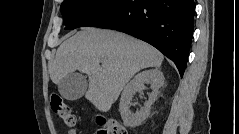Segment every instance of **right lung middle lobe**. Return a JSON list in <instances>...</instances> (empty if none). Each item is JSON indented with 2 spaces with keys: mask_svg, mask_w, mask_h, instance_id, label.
Wrapping results in <instances>:
<instances>
[{
  "mask_svg": "<svg viewBox=\"0 0 239 134\" xmlns=\"http://www.w3.org/2000/svg\"><path fill=\"white\" fill-rule=\"evenodd\" d=\"M116 0H64L60 10L65 29L84 26L92 17Z\"/></svg>",
  "mask_w": 239,
  "mask_h": 134,
  "instance_id": "dd1d6c3e",
  "label": "right lung middle lobe"
}]
</instances>
